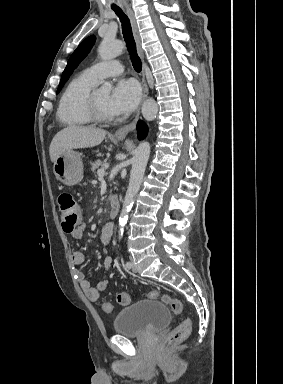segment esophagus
Returning <instances> with one entry per match:
<instances>
[{
  "label": "esophagus",
  "mask_w": 283,
  "mask_h": 384,
  "mask_svg": "<svg viewBox=\"0 0 283 384\" xmlns=\"http://www.w3.org/2000/svg\"><path fill=\"white\" fill-rule=\"evenodd\" d=\"M125 8H126V11L129 15V18L131 21V26H132V30H133V36H134L136 46H137V51L139 53V56H140L142 62L144 63V54H143V50L141 47V37H140V33H139V29H138L135 15L129 6H126ZM142 88H143L142 99H141L139 108L136 112L134 120L130 124L124 125L123 127H120V129L116 130V132L114 134L116 137H126V135L129 132H131L132 130H134L136 127V123L139 119L142 103L144 102V100L146 99V97L148 96V93H149L148 85H147V82L145 79L144 68L142 70Z\"/></svg>",
  "instance_id": "1"
}]
</instances>
